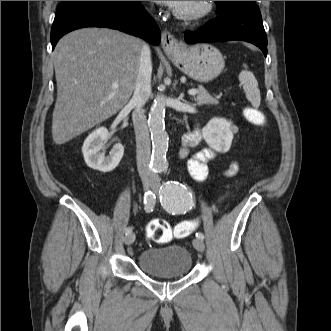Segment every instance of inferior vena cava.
Segmentation results:
<instances>
[{
    "label": "inferior vena cava",
    "instance_id": "602c4592",
    "mask_svg": "<svg viewBox=\"0 0 331 331\" xmlns=\"http://www.w3.org/2000/svg\"><path fill=\"white\" fill-rule=\"evenodd\" d=\"M151 74V52L149 46L144 44L140 55V64L135 83V90L130 103L134 106L132 120L136 136L137 168L140 175L147 176H153V173L150 170V135L143 106L151 94Z\"/></svg>",
    "mask_w": 331,
    "mask_h": 331
}]
</instances>
